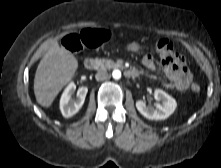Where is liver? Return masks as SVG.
I'll return each mask as SVG.
<instances>
[{
	"label": "liver",
	"instance_id": "liver-1",
	"mask_svg": "<svg viewBox=\"0 0 221 168\" xmlns=\"http://www.w3.org/2000/svg\"><path fill=\"white\" fill-rule=\"evenodd\" d=\"M78 60L71 52L54 42L42 57L34 78V94L45 108L52 105L57 94L75 76Z\"/></svg>",
	"mask_w": 221,
	"mask_h": 168
}]
</instances>
